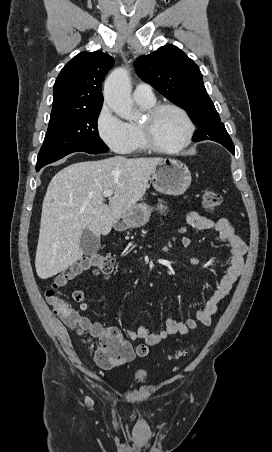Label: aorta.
Here are the masks:
<instances>
[{"instance_id": "1", "label": "aorta", "mask_w": 272, "mask_h": 452, "mask_svg": "<svg viewBox=\"0 0 272 452\" xmlns=\"http://www.w3.org/2000/svg\"><path fill=\"white\" fill-rule=\"evenodd\" d=\"M104 101L120 118L131 120L136 116L131 98V85L128 71L115 69L104 84Z\"/></svg>"}]
</instances>
